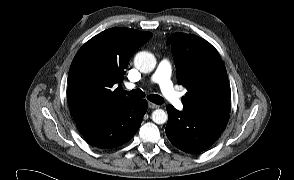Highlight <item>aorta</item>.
<instances>
[{
  "label": "aorta",
  "mask_w": 294,
  "mask_h": 180,
  "mask_svg": "<svg viewBox=\"0 0 294 180\" xmlns=\"http://www.w3.org/2000/svg\"><path fill=\"white\" fill-rule=\"evenodd\" d=\"M136 68L142 73H149L156 66L155 56L147 51L138 52L134 58ZM168 119L167 113L162 109H156L152 112V120L156 124H164Z\"/></svg>",
  "instance_id": "aorta-1"
}]
</instances>
